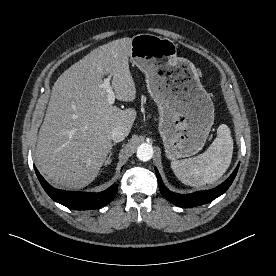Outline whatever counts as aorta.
Here are the masks:
<instances>
[{
	"label": "aorta",
	"instance_id": "762f6f07",
	"mask_svg": "<svg viewBox=\"0 0 276 276\" xmlns=\"http://www.w3.org/2000/svg\"><path fill=\"white\" fill-rule=\"evenodd\" d=\"M137 157L139 160L146 162L153 157V148L148 143L141 144L137 149Z\"/></svg>",
	"mask_w": 276,
	"mask_h": 276
}]
</instances>
